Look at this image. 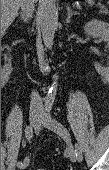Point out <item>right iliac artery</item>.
Returning <instances> with one entry per match:
<instances>
[{"instance_id":"right-iliac-artery-1","label":"right iliac artery","mask_w":109,"mask_h":170,"mask_svg":"<svg viewBox=\"0 0 109 170\" xmlns=\"http://www.w3.org/2000/svg\"><path fill=\"white\" fill-rule=\"evenodd\" d=\"M25 134H26V138L27 140H30L32 138V128L31 127H26L25 129ZM25 161V160H24ZM23 163L21 161H19L17 163V167H22Z\"/></svg>"}]
</instances>
